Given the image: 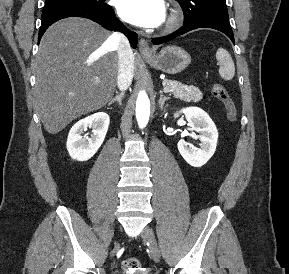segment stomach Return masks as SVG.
Returning <instances> with one entry per match:
<instances>
[{
  "label": "stomach",
  "mask_w": 289,
  "mask_h": 274,
  "mask_svg": "<svg viewBox=\"0 0 289 274\" xmlns=\"http://www.w3.org/2000/svg\"><path fill=\"white\" fill-rule=\"evenodd\" d=\"M154 68L168 74H178L190 63V55L179 46H167L159 54L145 57Z\"/></svg>",
  "instance_id": "obj_1"
}]
</instances>
